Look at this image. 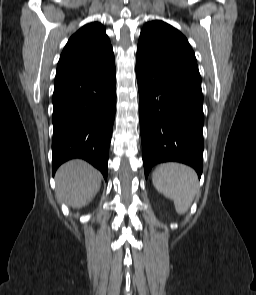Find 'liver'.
Listing matches in <instances>:
<instances>
[{
    "mask_svg": "<svg viewBox=\"0 0 256 295\" xmlns=\"http://www.w3.org/2000/svg\"><path fill=\"white\" fill-rule=\"evenodd\" d=\"M56 197L73 208L89 204L100 189L102 175L83 160H70L56 172Z\"/></svg>",
    "mask_w": 256,
    "mask_h": 295,
    "instance_id": "6515ba94",
    "label": "liver"
}]
</instances>
